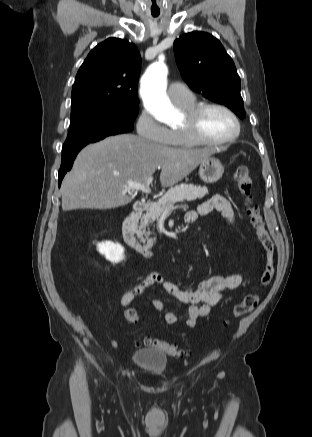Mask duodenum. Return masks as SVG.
<instances>
[{"label": "duodenum", "instance_id": "410a0bca", "mask_svg": "<svg viewBox=\"0 0 312 437\" xmlns=\"http://www.w3.org/2000/svg\"><path fill=\"white\" fill-rule=\"evenodd\" d=\"M149 200L139 199L133 204V208L123 223V238L125 242L135 251L148 259L154 257V250L149 243L142 242L137 235V227L140 216L149 206Z\"/></svg>", "mask_w": 312, "mask_h": 437}]
</instances>
